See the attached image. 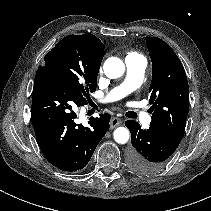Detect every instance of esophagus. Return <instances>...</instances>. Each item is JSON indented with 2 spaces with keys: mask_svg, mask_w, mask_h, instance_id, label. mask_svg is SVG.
Here are the masks:
<instances>
[{
  "mask_svg": "<svg viewBox=\"0 0 211 211\" xmlns=\"http://www.w3.org/2000/svg\"><path fill=\"white\" fill-rule=\"evenodd\" d=\"M122 123L120 118L114 117L110 121V128L114 129L115 127L119 126Z\"/></svg>",
  "mask_w": 211,
  "mask_h": 211,
  "instance_id": "esophagus-1",
  "label": "esophagus"
}]
</instances>
